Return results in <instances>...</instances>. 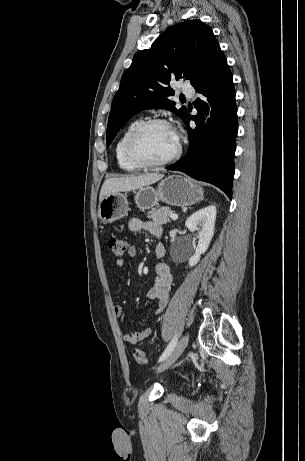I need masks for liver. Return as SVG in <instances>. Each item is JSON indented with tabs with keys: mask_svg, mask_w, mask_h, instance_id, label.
<instances>
[{
	"mask_svg": "<svg viewBox=\"0 0 305 461\" xmlns=\"http://www.w3.org/2000/svg\"><path fill=\"white\" fill-rule=\"evenodd\" d=\"M163 178L162 174L150 173L139 176L109 178L102 185L99 201L115 192H127L141 187L149 186Z\"/></svg>",
	"mask_w": 305,
	"mask_h": 461,
	"instance_id": "liver-1",
	"label": "liver"
}]
</instances>
